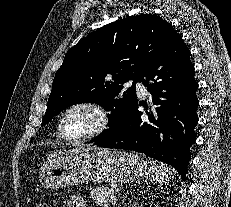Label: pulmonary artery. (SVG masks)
Wrapping results in <instances>:
<instances>
[{
	"mask_svg": "<svg viewBox=\"0 0 231 207\" xmlns=\"http://www.w3.org/2000/svg\"><path fill=\"white\" fill-rule=\"evenodd\" d=\"M128 85L129 86L134 85L139 92H141L142 94H145V88H144L143 84L139 80H131L128 83Z\"/></svg>",
	"mask_w": 231,
	"mask_h": 207,
	"instance_id": "1",
	"label": "pulmonary artery"
}]
</instances>
